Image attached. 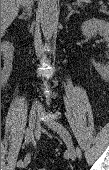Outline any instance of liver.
<instances>
[{"label": "liver", "mask_w": 109, "mask_h": 170, "mask_svg": "<svg viewBox=\"0 0 109 170\" xmlns=\"http://www.w3.org/2000/svg\"><path fill=\"white\" fill-rule=\"evenodd\" d=\"M21 0H1V31L10 26L18 14Z\"/></svg>", "instance_id": "obj_1"}]
</instances>
